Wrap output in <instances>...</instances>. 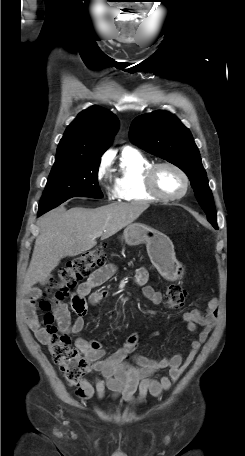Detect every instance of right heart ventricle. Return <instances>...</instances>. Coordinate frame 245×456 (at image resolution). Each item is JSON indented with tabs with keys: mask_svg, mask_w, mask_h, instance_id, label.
Here are the masks:
<instances>
[{
	"mask_svg": "<svg viewBox=\"0 0 245 456\" xmlns=\"http://www.w3.org/2000/svg\"><path fill=\"white\" fill-rule=\"evenodd\" d=\"M152 162L140 152L125 148L120 156L119 170L115 177L117 197L126 202H150L156 200L144 185V173Z\"/></svg>",
	"mask_w": 245,
	"mask_h": 456,
	"instance_id": "e07e8e85",
	"label": "right heart ventricle"
}]
</instances>
